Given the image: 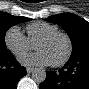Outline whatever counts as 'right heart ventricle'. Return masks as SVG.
Listing matches in <instances>:
<instances>
[{
    "label": "right heart ventricle",
    "mask_w": 89,
    "mask_h": 89,
    "mask_svg": "<svg viewBox=\"0 0 89 89\" xmlns=\"http://www.w3.org/2000/svg\"><path fill=\"white\" fill-rule=\"evenodd\" d=\"M27 38L35 45V43L44 35L59 31L58 26L48 22H34L26 27Z\"/></svg>",
    "instance_id": "obj_1"
}]
</instances>
